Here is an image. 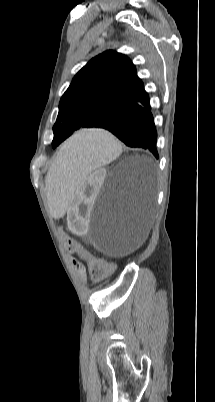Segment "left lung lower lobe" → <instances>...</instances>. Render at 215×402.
Wrapping results in <instances>:
<instances>
[{
	"label": "left lung lower lobe",
	"instance_id": "0a47b994",
	"mask_svg": "<svg viewBox=\"0 0 215 402\" xmlns=\"http://www.w3.org/2000/svg\"><path fill=\"white\" fill-rule=\"evenodd\" d=\"M96 127L110 131L129 147L148 149L156 158L159 157L157 132L144 88L136 98Z\"/></svg>",
	"mask_w": 215,
	"mask_h": 402
}]
</instances>
